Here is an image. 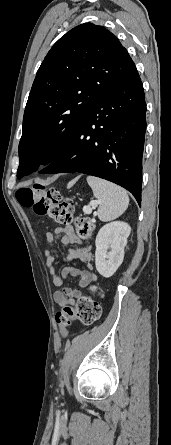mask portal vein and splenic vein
I'll use <instances>...</instances> for the list:
<instances>
[{
  "mask_svg": "<svg viewBox=\"0 0 171 445\" xmlns=\"http://www.w3.org/2000/svg\"><path fill=\"white\" fill-rule=\"evenodd\" d=\"M99 203H100V202L95 201V202H93V203L91 204V206H85V207L83 208L84 213H85V214H90V213H92V209H94Z\"/></svg>",
  "mask_w": 171,
  "mask_h": 445,
  "instance_id": "18ae733b",
  "label": "portal vein and splenic vein"
}]
</instances>
